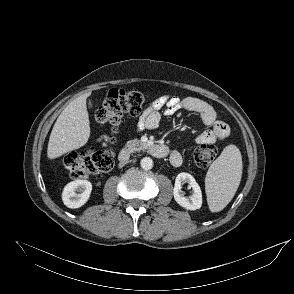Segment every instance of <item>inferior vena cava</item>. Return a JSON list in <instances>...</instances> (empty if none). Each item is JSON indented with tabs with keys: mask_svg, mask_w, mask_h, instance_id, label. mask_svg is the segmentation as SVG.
<instances>
[{
	"mask_svg": "<svg viewBox=\"0 0 294 294\" xmlns=\"http://www.w3.org/2000/svg\"><path fill=\"white\" fill-rule=\"evenodd\" d=\"M127 162V159L121 160V164H125Z\"/></svg>",
	"mask_w": 294,
	"mask_h": 294,
	"instance_id": "1",
	"label": "inferior vena cava"
}]
</instances>
